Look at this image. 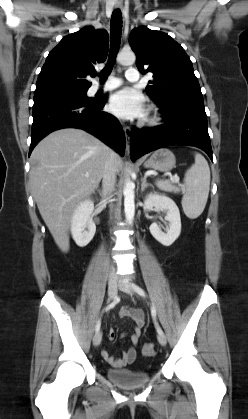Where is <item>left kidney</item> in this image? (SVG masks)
Listing matches in <instances>:
<instances>
[{
    "label": "left kidney",
    "instance_id": "5707ae66",
    "mask_svg": "<svg viewBox=\"0 0 248 419\" xmlns=\"http://www.w3.org/2000/svg\"><path fill=\"white\" fill-rule=\"evenodd\" d=\"M144 204L149 211L155 209L166 212L165 219L169 222L167 232L164 233L156 223L151 224L149 230L158 242L164 246H170L181 232L180 212L177 205L171 198L157 193L148 194Z\"/></svg>",
    "mask_w": 248,
    "mask_h": 419
}]
</instances>
